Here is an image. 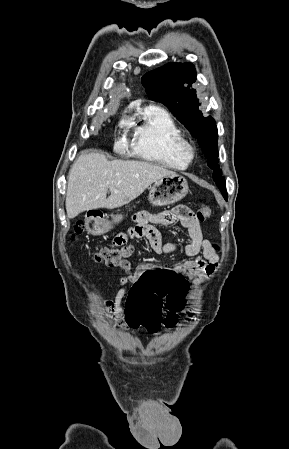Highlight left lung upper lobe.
<instances>
[{
  "label": "left lung upper lobe",
  "mask_w": 289,
  "mask_h": 449,
  "mask_svg": "<svg viewBox=\"0 0 289 449\" xmlns=\"http://www.w3.org/2000/svg\"><path fill=\"white\" fill-rule=\"evenodd\" d=\"M195 80L196 70L191 63L184 65L169 63L146 73L141 82L150 99L168 107L198 139L202 151L208 159V166L213 169V179L225 198L227 197L226 181L219 168L216 122L211 116L203 117L199 111L196 91L189 88ZM186 84H188V88H185Z\"/></svg>",
  "instance_id": "obj_1"
}]
</instances>
